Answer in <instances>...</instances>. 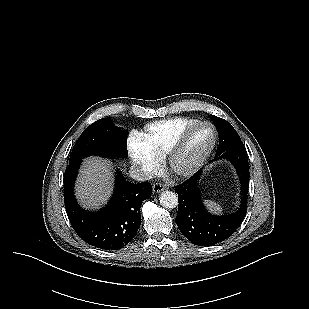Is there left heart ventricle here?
I'll return each instance as SVG.
<instances>
[{
  "label": "left heart ventricle",
  "mask_w": 309,
  "mask_h": 309,
  "mask_svg": "<svg viewBox=\"0 0 309 309\" xmlns=\"http://www.w3.org/2000/svg\"><path fill=\"white\" fill-rule=\"evenodd\" d=\"M212 140V131L207 126H200L193 132L190 142L179 159V164L185 165L203 153Z\"/></svg>",
  "instance_id": "b2bd125f"
}]
</instances>
